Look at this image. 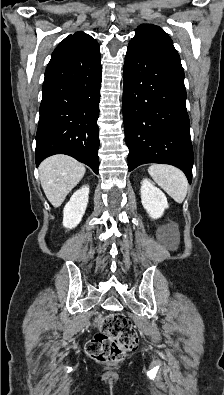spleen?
Returning <instances> with one entry per match:
<instances>
[{
  "label": "spleen",
  "instance_id": "1",
  "mask_svg": "<svg viewBox=\"0 0 224 395\" xmlns=\"http://www.w3.org/2000/svg\"><path fill=\"white\" fill-rule=\"evenodd\" d=\"M152 179L177 203L187 195L188 181L184 173L171 165L154 164L148 168Z\"/></svg>",
  "mask_w": 224,
  "mask_h": 395
}]
</instances>
